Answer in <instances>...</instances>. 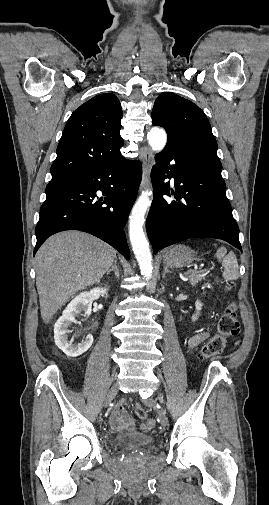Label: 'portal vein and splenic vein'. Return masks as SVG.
<instances>
[{"label":"portal vein and splenic vein","instance_id":"portal-vein-and-splenic-vein-1","mask_svg":"<svg viewBox=\"0 0 269 505\" xmlns=\"http://www.w3.org/2000/svg\"><path fill=\"white\" fill-rule=\"evenodd\" d=\"M192 271H193V270H192V269H190V270H188V271L186 272V274H188V273H190V272H192Z\"/></svg>","mask_w":269,"mask_h":505}]
</instances>
